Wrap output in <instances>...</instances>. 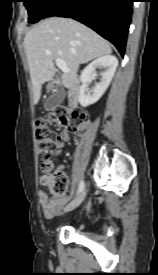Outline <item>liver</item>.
Wrapping results in <instances>:
<instances>
[{
  "mask_svg": "<svg viewBox=\"0 0 158 275\" xmlns=\"http://www.w3.org/2000/svg\"><path fill=\"white\" fill-rule=\"evenodd\" d=\"M33 87V102L41 97L42 85L56 73L54 60L63 59L69 72L61 79L71 88L77 78L80 64L110 55V44L87 26L70 18L51 17L35 25L24 38Z\"/></svg>",
  "mask_w": 158,
  "mask_h": 275,
  "instance_id": "obj_1",
  "label": "liver"
}]
</instances>
